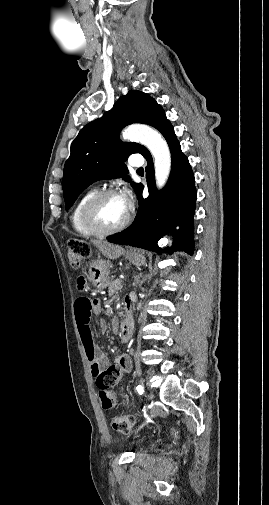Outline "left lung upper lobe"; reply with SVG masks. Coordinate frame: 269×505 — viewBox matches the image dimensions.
<instances>
[{
	"mask_svg": "<svg viewBox=\"0 0 269 505\" xmlns=\"http://www.w3.org/2000/svg\"><path fill=\"white\" fill-rule=\"evenodd\" d=\"M165 116L163 108L148 94L131 90L102 117L85 125L72 142L70 156L64 165L62 188L66 208L93 182L105 178L124 177L129 155L147 154L148 149L138 143H124L119 138L121 129L132 123L155 126ZM137 192L140 184L132 182Z\"/></svg>",
	"mask_w": 269,
	"mask_h": 505,
	"instance_id": "obj_1",
	"label": "left lung upper lobe"
}]
</instances>
